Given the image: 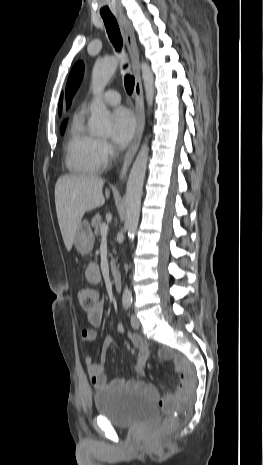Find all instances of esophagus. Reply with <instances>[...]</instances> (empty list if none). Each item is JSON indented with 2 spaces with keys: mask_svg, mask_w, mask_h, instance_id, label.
Listing matches in <instances>:
<instances>
[{
  "mask_svg": "<svg viewBox=\"0 0 263 465\" xmlns=\"http://www.w3.org/2000/svg\"><path fill=\"white\" fill-rule=\"evenodd\" d=\"M118 20L120 23L121 31L125 44L127 46L132 69L135 76V85H134V98H135V114L137 119V129L131 146L129 147L123 161L122 171L119 174V180L123 179L128 167L133 161L135 154L139 148L141 138L145 126V113H144V103H143V89L142 81L139 67V50L136 43V38L134 34V29L131 22L124 15H119Z\"/></svg>",
  "mask_w": 263,
  "mask_h": 465,
  "instance_id": "34e87169",
  "label": "esophagus"
}]
</instances>
